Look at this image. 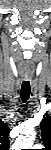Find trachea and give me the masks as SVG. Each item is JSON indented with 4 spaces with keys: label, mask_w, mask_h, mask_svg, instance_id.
<instances>
[{
    "label": "trachea",
    "mask_w": 51,
    "mask_h": 150,
    "mask_svg": "<svg viewBox=\"0 0 51 150\" xmlns=\"http://www.w3.org/2000/svg\"><path fill=\"white\" fill-rule=\"evenodd\" d=\"M21 99L23 102H26L29 99L31 93V87L29 81H23L21 86Z\"/></svg>",
    "instance_id": "trachea-1"
}]
</instances>
